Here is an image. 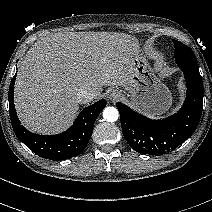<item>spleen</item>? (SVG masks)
<instances>
[{"instance_id":"spleen-1","label":"spleen","mask_w":212,"mask_h":212,"mask_svg":"<svg viewBox=\"0 0 212 212\" xmlns=\"http://www.w3.org/2000/svg\"><path fill=\"white\" fill-rule=\"evenodd\" d=\"M150 117H151V118H156V117H158V116H155V115L153 114V115H150Z\"/></svg>"}]
</instances>
